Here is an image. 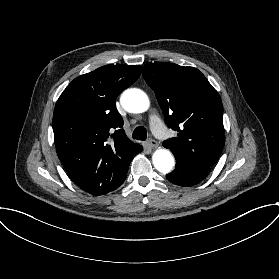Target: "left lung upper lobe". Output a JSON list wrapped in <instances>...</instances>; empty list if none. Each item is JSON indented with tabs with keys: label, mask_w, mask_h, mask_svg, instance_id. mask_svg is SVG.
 <instances>
[{
	"label": "left lung upper lobe",
	"mask_w": 279,
	"mask_h": 279,
	"mask_svg": "<svg viewBox=\"0 0 279 279\" xmlns=\"http://www.w3.org/2000/svg\"><path fill=\"white\" fill-rule=\"evenodd\" d=\"M143 77L155 91L166 124L178 132L166 140L176 160L212 168L225 143L221 98L206 77L194 67L148 63Z\"/></svg>",
	"instance_id": "5c2ea615"
}]
</instances>
